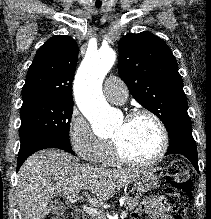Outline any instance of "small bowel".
Masks as SVG:
<instances>
[{
    "label": "small bowel",
    "instance_id": "obj_1",
    "mask_svg": "<svg viewBox=\"0 0 211 219\" xmlns=\"http://www.w3.org/2000/svg\"><path fill=\"white\" fill-rule=\"evenodd\" d=\"M141 213H146L152 219H172L170 207L161 196H152L146 200L141 208L133 213V219H138Z\"/></svg>",
    "mask_w": 211,
    "mask_h": 219
}]
</instances>
